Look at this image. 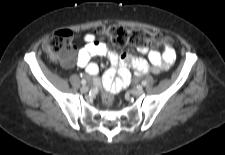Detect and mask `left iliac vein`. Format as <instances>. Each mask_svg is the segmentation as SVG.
<instances>
[{
  "label": "left iliac vein",
  "instance_id": "obj_1",
  "mask_svg": "<svg viewBox=\"0 0 225 155\" xmlns=\"http://www.w3.org/2000/svg\"><path fill=\"white\" fill-rule=\"evenodd\" d=\"M131 93L135 96H140V95L144 94V91L142 89L138 88V89H133L131 91Z\"/></svg>",
  "mask_w": 225,
  "mask_h": 155
}]
</instances>
